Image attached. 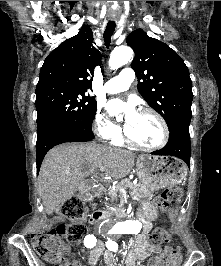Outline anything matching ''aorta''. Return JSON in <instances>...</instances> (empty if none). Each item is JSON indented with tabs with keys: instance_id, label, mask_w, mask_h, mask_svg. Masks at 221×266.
<instances>
[{
	"instance_id": "762f6f07",
	"label": "aorta",
	"mask_w": 221,
	"mask_h": 266,
	"mask_svg": "<svg viewBox=\"0 0 221 266\" xmlns=\"http://www.w3.org/2000/svg\"><path fill=\"white\" fill-rule=\"evenodd\" d=\"M133 58V51L128 46H119L115 48L109 59V67L111 69H118L124 64L130 62ZM141 224L137 220H126L117 223L114 226H109L106 229L111 230L114 233H126L133 234L138 233L141 230Z\"/></svg>"
}]
</instances>
